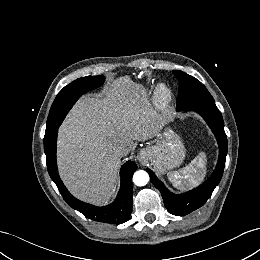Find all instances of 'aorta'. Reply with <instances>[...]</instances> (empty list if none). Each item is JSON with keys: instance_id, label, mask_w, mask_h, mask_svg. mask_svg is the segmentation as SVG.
I'll use <instances>...</instances> for the list:
<instances>
[{"instance_id": "obj_1", "label": "aorta", "mask_w": 260, "mask_h": 260, "mask_svg": "<svg viewBox=\"0 0 260 260\" xmlns=\"http://www.w3.org/2000/svg\"><path fill=\"white\" fill-rule=\"evenodd\" d=\"M149 181V175L144 170H138L133 175V183L137 186H144Z\"/></svg>"}]
</instances>
